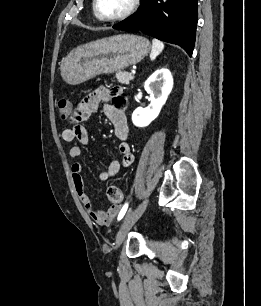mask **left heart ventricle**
Wrapping results in <instances>:
<instances>
[{
	"instance_id": "left-heart-ventricle-1",
	"label": "left heart ventricle",
	"mask_w": 261,
	"mask_h": 306,
	"mask_svg": "<svg viewBox=\"0 0 261 306\" xmlns=\"http://www.w3.org/2000/svg\"><path fill=\"white\" fill-rule=\"evenodd\" d=\"M132 0H98L99 12L107 17L120 15L130 6Z\"/></svg>"
}]
</instances>
